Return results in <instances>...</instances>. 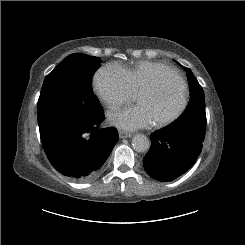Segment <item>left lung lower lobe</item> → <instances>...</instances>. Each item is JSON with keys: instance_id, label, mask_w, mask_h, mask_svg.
<instances>
[{"instance_id": "1", "label": "left lung lower lobe", "mask_w": 245, "mask_h": 245, "mask_svg": "<svg viewBox=\"0 0 245 245\" xmlns=\"http://www.w3.org/2000/svg\"><path fill=\"white\" fill-rule=\"evenodd\" d=\"M151 147L143 166L152 178L169 182L186 173L199 157L203 141L188 133L171 132L165 128L150 136Z\"/></svg>"}]
</instances>
